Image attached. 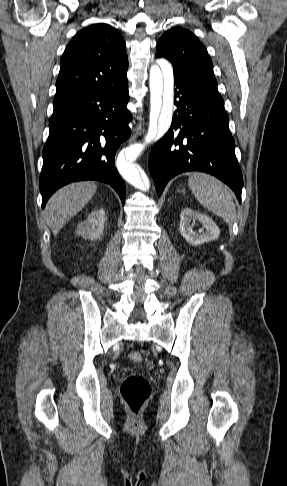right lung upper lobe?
I'll return each instance as SVG.
<instances>
[{
  "mask_svg": "<svg viewBox=\"0 0 287 486\" xmlns=\"http://www.w3.org/2000/svg\"><path fill=\"white\" fill-rule=\"evenodd\" d=\"M127 68L125 42L115 28L99 23L80 30L61 58L54 110L127 82Z\"/></svg>",
  "mask_w": 287,
  "mask_h": 486,
  "instance_id": "cb5924a9",
  "label": "right lung upper lobe"
}]
</instances>
